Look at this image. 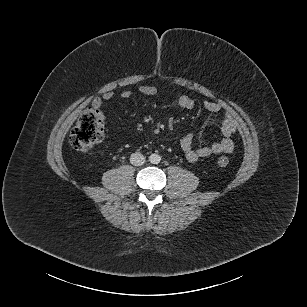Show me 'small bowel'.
I'll list each match as a JSON object with an SVG mask.
<instances>
[{
    "label": "small bowel",
    "instance_id": "1",
    "mask_svg": "<svg viewBox=\"0 0 307 307\" xmlns=\"http://www.w3.org/2000/svg\"><path fill=\"white\" fill-rule=\"evenodd\" d=\"M139 92L145 96H154L159 93L158 89L153 85H142L139 87ZM132 92L125 90L121 93L124 99L130 98ZM113 92H106L102 98L93 100L92 107L98 111L99 116L104 120L102 106L104 101L113 99ZM195 100L187 95H182L178 99V105L185 110H192L195 107ZM203 107L206 111L218 114L221 111L219 104L213 101L206 100L203 102ZM222 138L208 145L196 146L193 134H187L180 142V146L185 153L187 160L195 162L200 158H206L214 154L231 153L234 149V141L232 139L236 132V125L230 115L222 113L219 118Z\"/></svg>",
    "mask_w": 307,
    "mask_h": 307
}]
</instances>
